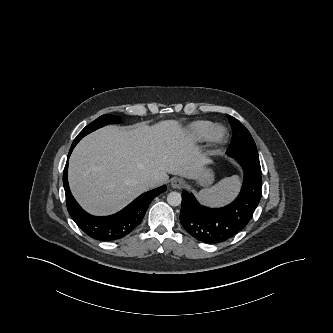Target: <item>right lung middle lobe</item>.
Returning a JSON list of instances; mask_svg holds the SVG:
<instances>
[{
    "label": "right lung middle lobe",
    "instance_id": "dd1d6c3e",
    "mask_svg": "<svg viewBox=\"0 0 333 333\" xmlns=\"http://www.w3.org/2000/svg\"><path fill=\"white\" fill-rule=\"evenodd\" d=\"M121 120L118 119L114 115H102L99 118H97L95 121L87 125L75 138L73 143H78L84 136L87 134L97 130L100 127H103L107 124H112V123H120Z\"/></svg>",
    "mask_w": 333,
    "mask_h": 333
}]
</instances>
